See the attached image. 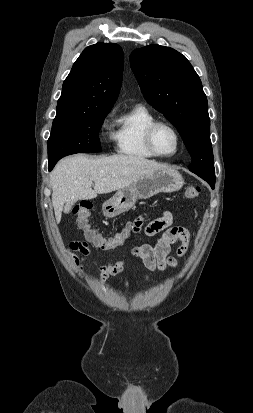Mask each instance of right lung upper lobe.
<instances>
[{
	"label": "right lung upper lobe",
	"mask_w": 253,
	"mask_h": 413,
	"mask_svg": "<svg viewBox=\"0 0 253 413\" xmlns=\"http://www.w3.org/2000/svg\"><path fill=\"white\" fill-rule=\"evenodd\" d=\"M123 51L113 43L84 49L63 83L56 117L111 110L122 83Z\"/></svg>",
	"instance_id": "right-lung-upper-lobe-1"
}]
</instances>
